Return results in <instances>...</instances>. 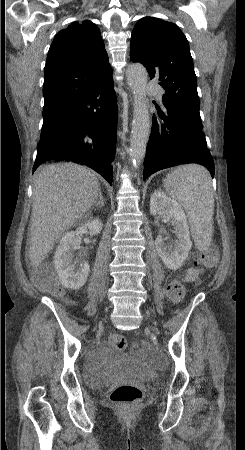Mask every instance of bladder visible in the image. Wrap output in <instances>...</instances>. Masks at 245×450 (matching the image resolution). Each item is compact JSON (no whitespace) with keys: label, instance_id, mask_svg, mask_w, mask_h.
Instances as JSON below:
<instances>
[{"label":"bladder","instance_id":"31cf9c89","mask_svg":"<svg viewBox=\"0 0 245 450\" xmlns=\"http://www.w3.org/2000/svg\"><path fill=\"white\" fill-rule=\"evenodd\" d=\"M83 376L87 384L95 388L112 386L124 380L144 381L150 378V374L132 360L115 362L107 367L100 362H89L83 366Z\"/></svg>","mask_w":245,"mask_h":450}]
</instances>
